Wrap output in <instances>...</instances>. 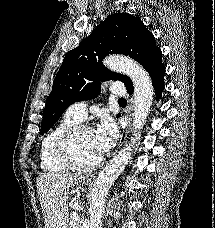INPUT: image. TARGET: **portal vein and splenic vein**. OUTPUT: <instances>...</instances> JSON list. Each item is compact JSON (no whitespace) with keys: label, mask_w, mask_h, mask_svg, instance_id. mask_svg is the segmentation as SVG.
Returning <instances> with one entry per match:
<instances>
[{"label":"portal vein and splenic vein","mask_w":215,"mask_h":228,"mask_svg":"<svg viewBox=\"0 0 215 228\" xmlns=\"http://www.w3.org/2000/svg\"><path fill=\"white\" fill-rule=\"evenodd\" d=\"M71 218L72 220H79V214H77V212H72Z\"/></svg>","instance_id":"1"}]
</instances>
